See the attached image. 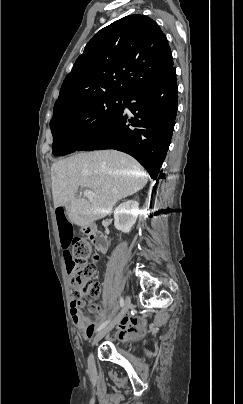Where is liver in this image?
Returning a JSON list of instances; mask_svg holds the SVG:
<instances>
[{
	"label": "liver",
	"instance_id": "obj_1",
	"mask_svg": "<svg viewBox=\"0 0 243 404\" xmlns=\"http://www.w3.org/2000/svg\"><path fill=\"white\" fill-rule=\"evenodd\" d=\"M51 180L54 208L64 206L69 222L88 228L94 220L105 218L119 200L142 190L148 174L131 156L102 150L55 162ZM79 186L91 190L95 198L90 202L76 198Z\"/></svg>",
	"mask_w": 243,
	"mask_h": 404
}]
</instances>
